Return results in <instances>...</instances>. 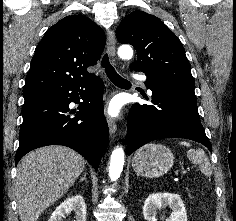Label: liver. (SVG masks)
<instances>
[{
    "instance_id": "obj_1",
    "label": "liver",
    "mask_w": 236,
    "mask_h": 221,
    "mask_svg": "<svg viewBox=\"0 0 236 221\" xmlns=\"http://www.w3.org/2000/svg\"><path fill=\"white\" fill-rule=\"evenodd\" d=\"M84 167V158L64 146H45L26 155L18 165L15 185L20 220L37 221L69 190Z\"/></svg>"
}]
</instances>
